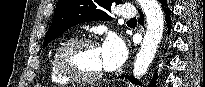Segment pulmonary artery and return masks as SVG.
Wrapping results in <instances>:
<instances>
[{"mask_svg": "<svg viewBox=\"0 0 205 87\" xmlns=\"http://www.w3.org/2000/svg\"><path fill=\"white\" fill-rule=\"evenodd\" d=\"M119 14L121 18L129 19L135 15V9L132 5H124Z\"/></svg>", "mask_w": 205, "mask_h": 87, "instance_id": "1", "label": "pulmonary artery"}]
</instances>
